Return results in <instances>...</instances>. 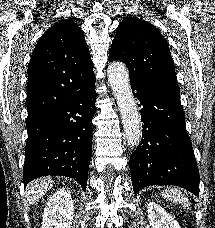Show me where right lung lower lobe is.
<instances>
[{
    "label": "right lung lower lobe",
    "instance_id": "1",
    "mask_svg": "<svg viewBox=\"0 0 215 228\" xmlns=\"http://www.w3.org/2000/svg\"><path fill=\"white\" fill-rule=\"evenodd\" d=\"M95 76L71 84L67 98L26 122L23 183L46 175L74 178L85 191L92 149Z\"/></svg>",
    "mask_w": 215,
    "mask_h": 228
}]
</instances>
